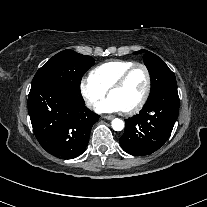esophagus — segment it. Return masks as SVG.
Here are the masks:
<instances>
[{
	"label": "esophagus",
	"mask_w": 207,
	"mask_h": 207,
	"mask_svg": "<svg viewBox=\"0 0 207 207\" xmlns=\"http://www.w3.org/2000/svg\"><path fill=\"white\" fill-rule=\"evenodd\" d=\"M103 118H104V119H107V120H111V119H113L114 117L111 116V115H104Z\"/></svg>",
	"instance_id": "obj_1"
}]
</instances>
